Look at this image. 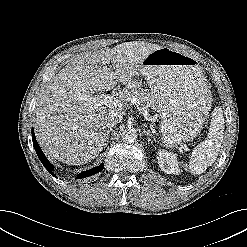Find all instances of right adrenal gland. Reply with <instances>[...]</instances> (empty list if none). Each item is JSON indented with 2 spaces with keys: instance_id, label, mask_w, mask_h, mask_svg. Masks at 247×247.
<instances>
[{
  "instance_id": "right-adrenal-gland-1",
  "label": "right adrenal gland",
  "mask_w": 247,
  "mask_h": 247,
  "mask_svg": "<svg viewBox=\"0 0 247 247\" xmlns=\"http://www.w3.org/2000/svg\"><path fill=\"white\" fill-rule=\"evenodd\" d=\"M111 131H112V128L108 129L106 131V133H105L106 134V140H105V143H104V147H106L108 142H109V134H110Z\"/></svg>"
}]
</instances>
